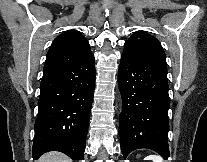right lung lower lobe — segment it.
<instances>
[{
    "label": "right lung lower lobe",
    "mask_w": 207,
    "mask_h": 162,
    "mask_svg": "<svg viewBox=\"0 0 207 162\" xmlns=\"http://www.w3.org/2000/svg\"><path fill=\"white\" fill-rule=\"evenodd\" d=\"M94 85V56L44 73L34 125V160L48 151L83 160Z\"/></svg>",
    "instance_id": "98d812e1"
}]
</instances>
